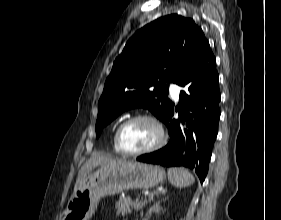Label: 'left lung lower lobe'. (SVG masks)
I'll list each match as a JSON object with an SVG mask.
<instances>
[{
	"label": "left lung lower lobe",
	"instance_id": "obj_1",
	"mask_svg": "<svg viewBox=\"0 0 281 220\" xmlns=\"http://www.w3.org/2000/svg\"><path fill=\"white\" fill-rule=\"evenodd\" d=\"M216 59L210 47L194 59L186 75L179 82V107L183 112L180 120L173 118L174 108L166 121L170 135L169 143L162 149L139 156L138 161L163 166H185L194 169L204 181L218 133L220 118ZM178 111V109H175ZM186 127L191 130L188 131ZM191 136V141L189 138ZM185 136L187 146L185 148Z\"/></svg>",
	"mask_w": 281,
	"mask_h": 220
}]
</instances>
